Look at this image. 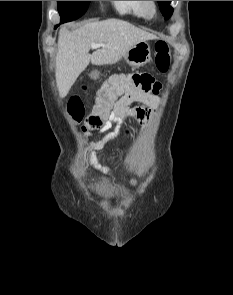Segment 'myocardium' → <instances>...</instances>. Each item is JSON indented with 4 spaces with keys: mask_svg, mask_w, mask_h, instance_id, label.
Returning <instances> with one entry per match:
<instances>
[{
    "mask_svg": "<svg viewBox=\"0 0 233 295\" xmlns=\"http://www.w3.org/2000/svg\"><path fill=\"white\" fill-rule=\"evenodd\" d=\"M140 6L145 18H152L157 13L156 1H140Z\"/></svg>",
    "mask_w": 233,
    "mask_h": 295,
    "instance_id": "obj_1",
    "label": "myocardium"
}]
</instances>
